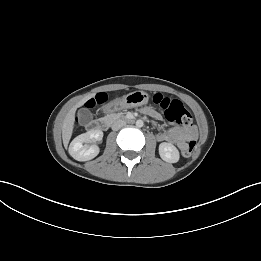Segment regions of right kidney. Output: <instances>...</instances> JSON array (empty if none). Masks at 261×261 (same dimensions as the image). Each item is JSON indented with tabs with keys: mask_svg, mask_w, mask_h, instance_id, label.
Returning a JSON list of instances; mask_svg holds the SVG:
<instances>
[{
	"mask_svg": "<svg viewBox=\"0 0 261 261\" xmlns=\"http://www.w3.org/2000/svg\"><path fill=\"white\" fill-rule=\"evenodd\" d=\"M103 138L101 130L92 129L83 133L70 143L69 154L77 161H88L96 157L99 153V147L96 144L84 145V143L100 141Z\"/></svg>",
	"mask_w": 261,
	"mask_h": 261,
	"instance_id": "right-kidney-1",
	"label": "right kidney"
}]
</instances>
